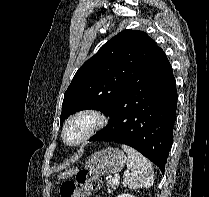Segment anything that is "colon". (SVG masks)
Returning <instances> with one entry per match:
<instances>
[{
  "instance_id": "5ec220e1",
  "label": "colon",
  "mask_w": 209,
  "mask_h": 197,
  "mask_svg": "<svg viewBox=\"0 0 209 197\" xmlns=\"http://www.w3.org/2000/svg\"><path fill=\"white\" fill-rule=\"evenodd\" d=\"M101 180L98 175L88 170H80L75 181H67L60 186L61 197H87L98 190Z\"/></svg>"
}]
</instances>
